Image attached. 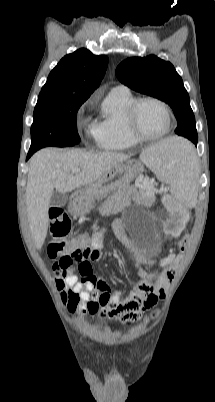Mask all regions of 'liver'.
<instances>
[{
	"instance_id": "liver-1",
	"label": "liver",
	"mask_w": 215,
	"mask_h": 402,
	"mask_svg": "<svg viewBox=\"0 0 215 402\" xmlns=\"http://www.w3.org/2000/svg\"><path fill=\"white\" fill-rule=\"evenodd\" d=\"M128 158V155L120 153H93L78 149L59 151L44 148L35 153L29 162L26 206L29 228L36 248H42L47 235L48 211L54 189L68 193L88 187ZM76 168L82 171L72 175V170Z\"/></svg>"
}]
</instances>
